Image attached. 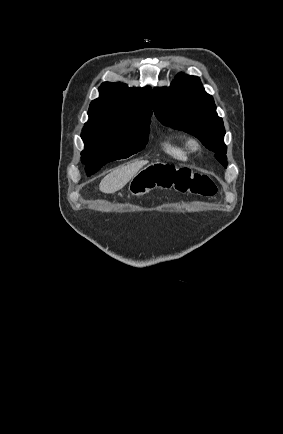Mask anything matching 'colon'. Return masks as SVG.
Returning a JSON list of instances; mask_svg holds the SVG:
<instances>
[{"mask_svg": "<svg viewBox=\"0 0 283 434\" xmlns=\"http://www.w3.org/2000/svg\"><path fill=\"white\" fill-rule=\"evenodd\" d=\"M155 188H173L199 196H213L217 192L215 183L207 174L163 163L152 164L141 170L133 179L130 190L134 195L142 196Z\"/></svg>", "mask_w": 283, "mask_h": 434, "instance_id": "colon-1", "label": "colon"}]
</instances>
